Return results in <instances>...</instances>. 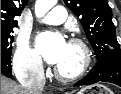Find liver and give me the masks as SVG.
<instances>
[{
    "label": "liver",
    "instance_id": "1",
    "mask_svg": "<svg viewBox=\"0 0 121 94\" xmlns=\"http://www.w3.org/2000/svg\"><path fill=\"white\" fill-rule=\"evenodd\" d=\"M1 94H24V90L16 82L1 75Z\"/></svg>",
    "mask_w": 121,
    "mask_h": 94
}]
</instances>
